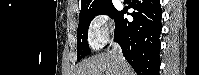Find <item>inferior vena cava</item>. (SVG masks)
<instances>
[{
	"instance_id": "obj_1",
	"label": "inferior vena cava",
	"mask_w": 199,
	"mask_h": 75,
	"mask_svg": "<svg viewBox=\"0 0 199 75\" xmlns=\"http://www.w3.org/2000/svg\"><path fill=\"white\" fill-rule=\"evenodd\" d=\"M112 51L117 54L119 61H121V62L125 61L123 54H122V50L119 46L114 47Z\"/></svg>"
}]
</instances>
